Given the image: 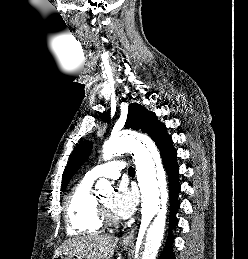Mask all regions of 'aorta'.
Masks as SVG:
<instances>
[{
	"instance_id": "1",
	"label": "aorta",
	"mask_w": 248,
	"mask_h": 259,
	"mask_svg": "<svg viewBox=\"0 0 248 259\" xmlns=\"http://www.w3.org/2000/svg\"><path fill=\"white\" fill-rule=\"evenodd\" d=\"M126 151L134 155L141 193L142 219L138 242L145 234L141 259H155L165 231L168 199L165 171L155 143L149 137L137 134L111 136L103 145V158L110 160ZM95 188L99 192L105 191L111 188V183L100 179Z\"/></svg>"
}]
</instances>
